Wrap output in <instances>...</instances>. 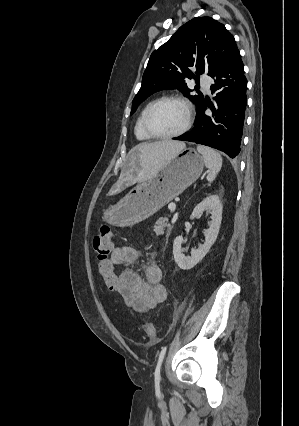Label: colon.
I'll return each mask as SVG.
<instances>
[{
    "mask_svg": "<svg viewBox=\"0 0 299 426\" xmlns=\"http://www.w3.org/2000/svg\"><path fill=\"white\" fill-rule=\"evenodd\" d=\"M93 250L98 262V271L106 287L119 294V277L110 261L114 247L113 233L108 225H102L93 238ZM145 332L151 341L158 340V330L154 323H148Z\"/></svg>",
    "mask_w": 299,
    "mask_h": 426,
    "instance_id": "colon-1",
    "label": "colon"
}]
</instances>
